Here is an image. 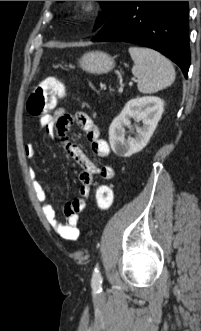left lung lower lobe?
Returning a JSON list of instances; mask_svg holds the SVG:
<instances>
[{"instance_id":"1","label":"left lung lower lobe","mask_w":201,"mask_h":331,"mask_svg":"<svg viewBox=\"0 0 201 331\" xmlns=\"http://www.w3.org/2000/svg\"><path fill=\"white\" fill-rule=\"evenodd\" d=\"M188 14V1H121L92 41H123L155 49L187 78Z\"/></svg>"}]
</instances>
